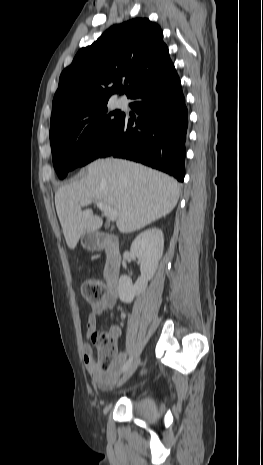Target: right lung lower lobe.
I'll use <instances>...</instances> for the list:
<instances>
[{
	"label": "right lung lower lobe",
	"mask_w": 263,
	"mask_h": 465,
	"mask_svg": "<svg viewBox=\"0 0 263 465\" xmlns=\"http://www.w3.org/2000/svg\"><path fill=\"white\" fill-rule=\"evenodd\" d=\"M128 98L139 117L123 115L100 157L141 162L183 181L188 110L174 65Z\"/></svg>",
	"instance_id": "98d812e1"
}]
</instances>
